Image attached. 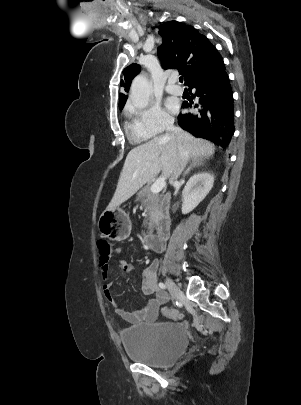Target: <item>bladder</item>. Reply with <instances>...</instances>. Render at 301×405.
<instances>
[{
	"label": "bladder",
	"instance_id": "obj_1",
	"mask_svg": "<svg viewBox=\"0 0 301 405\" xmlns=\"http://www.w3.org/2000/svg\"><path fill=\"white\" fill-rule=\"evenodd\" d=\"M120 338L131 360L153 367L172 365L188 346L186 329L173 322L127 327L120 332Z\"/></svg>",
	"mask_w": 301,
	"mask_h": 405
}]
</instances>
